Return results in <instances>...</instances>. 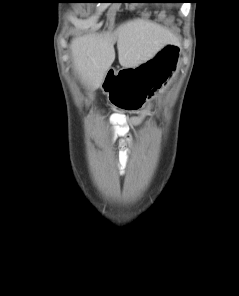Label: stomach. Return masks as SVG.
<instances>
[{
  "mask_svg": "<svg viewBox=\"0 0 239 296\" xmlns=\"http://www.w3.org/2000/svg\"><path fill=\"white\" fill-rule=\"evenodd\" d=\"M181 54L178 43L164 44L149 60L131 69H119L115 84L154 85H101L109 94V101L123 111H140L146 98H153L157 86L169 80L174 74ZM156 84V85H155Z\"/></svg>",
  "mask_w": 239,
  "mask_h": 296,
  "instance_id": "obj_1",
  "label": "stomach"
}]
</instances>
